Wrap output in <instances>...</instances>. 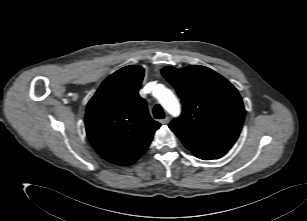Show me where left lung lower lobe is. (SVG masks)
Returning a JSON list of instances; mask_svg holds the SVG:
<instances>
[{
  "mask_svg": "<svg viewBox=\"0 0 307 221\" xmlns=\"http://www.w3.org/2000/svg\"><path fill=\"white\" fill-rule=\"evenodd\" d=\"M196 157L203 160L217 159L223 156L229 149L207 147L195 143L183 142Z\"/></svg>",
  "mask_w": 307,
  "mask_h": 221,
  "instance_id": "obj_1",
  "label": "left lung lower lobe"
}]
</instances>
